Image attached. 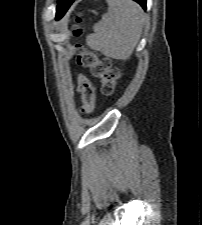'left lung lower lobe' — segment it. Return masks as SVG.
Instances as JSON below:
<instances>
[{
    "label": "left lung lower lobe",
    "instance_id": "1",
    "mask_svg": "<svg viewBox=\"0 0 202 225\" xmlns=\"http://www.w3.org/2000/svg\"><path fill=\"white\" fill-rule=\"evenodd\" d=\"M139 3L144 9H146V0H134Z\"/></svg>",
    "mask_w": 202,
    "mask_h": 225
}]
</instances>
